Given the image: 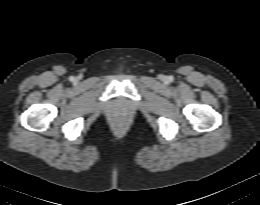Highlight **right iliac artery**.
Returning a JSON list of instances; mask_svg holds the SVG:
<instances>
[{"mask_svg": "<svg viewBox=\"0 0 260 205\" xmlns=\"http://www.w3.org/2000/svg\"><path fill=\"white\" fill-rule=\"evenodd\" d=\"M70 80L73 81V80H74V77L71 76V77H70Z\"/></svg>", "mask_w": 260, "mask_h": 205, "instance_id": "82829eb1", "label": "right iliac artery"}]
</instances>
